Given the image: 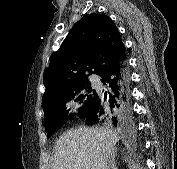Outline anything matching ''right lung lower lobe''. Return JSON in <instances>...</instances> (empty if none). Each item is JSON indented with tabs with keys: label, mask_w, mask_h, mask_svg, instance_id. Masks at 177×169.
<instances>
[{
	"label": "right lung lower lobe",
	"mask_w": 177,
	"mask_h": 169,
	"mask_svg": "<svg viewBox=\"0 0 177 169\" xmlns=\"http://www.w3.org/2000/svg\"><path fill=\"white\" fill-rule=\"evenodd\" d=\"M99 75L108 91L104 96L96 93L93 104L82 117L89 125L108 122L117 127L121 122H127L132 114L126 58L108 66Z\"/></svg>",
	"instance_id": "obj_1"
}]
</instances>
